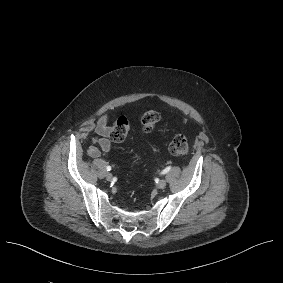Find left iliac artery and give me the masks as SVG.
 <instances>
[{"label": "left iliac artery", "mask_w": 283, "mask_h": 283, "mask_svg": "<svg viewBox=\"0 0 283 283\" xmlns=\"http://www.w3.org/2000/svg\"><path fill=\"white\" fill-rule=\"evenodd\" d=\"M171 170V166L166 167L161 174H166L167 172H169Z\"/></svg>", "instance_id": "1"}]
</instances>
